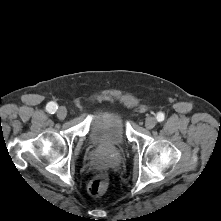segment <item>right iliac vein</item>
<instances>
[{
	"mask_svg": "<svg viewBox=\"0 0 221 221\" xmlns=\"http://www.w3.org/2000/svg\"><path fill=\"white\" fill-rule=\"evenodd\" d=\"M67 116V109L65 107H60L57 110V117L61 120L65 119Z\"/></svg>",
	"mask_w": 221,
	"mask_h": 221,
	"instance_id": "63e3f726",
	"label": "right iliac vein"
}]
</instances>
